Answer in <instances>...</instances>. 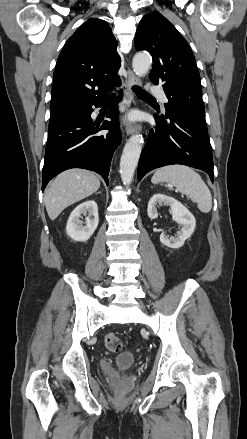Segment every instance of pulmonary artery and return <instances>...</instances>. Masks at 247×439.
Returning <instances> with one entry per match:
<instances>
[{"mask_svg": "<svg viewBox=\"0 0 247 439\" xmlns=\"http://www.w3.org/2000/svg\"><path fill=\"white\" fill-rule=\"evenodd\" d=\"M151 92L154 95H156L157 97H159L162 100V102H164V103L167 102V97H166L164 91L160 87L152 86L151 87Z\"/></svg>", "mask_w": 247, "mask_h": 439, "instance_id": "e3ab8cb5", "label": "pulmonary artery"}]
</instances>
